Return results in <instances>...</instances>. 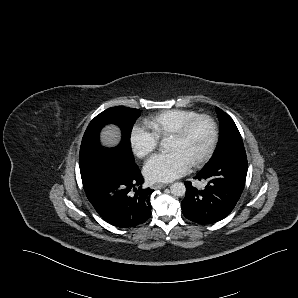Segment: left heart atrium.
<instances>
[{
  "instance_id": "obj_1",
  "label": "left heart atrium",
  "mask_w": 298,
  "mask_h": 298,
  "mask_svg": "<svg viewBox=\"0 0 298 298\" xmlns=\"http://www.w3.org/2000/svg\"><path fill=\"white\" fill-rule=\"evenodd\" d=\"M188 163L174 151L153 155L144 165L145 176L154 182H168L182 176Z\"/></svg>"
}]
</instances>
